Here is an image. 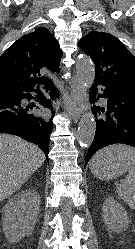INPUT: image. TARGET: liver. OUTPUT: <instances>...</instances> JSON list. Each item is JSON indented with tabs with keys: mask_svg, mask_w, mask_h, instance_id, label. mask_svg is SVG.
Instances as JSON below:
<instances>
[{
	"mask_svg": "<svg viewBox=\"0 0 135 249\" xmlns=\"http://www.w3.org/2000/svg\"><path fill=\"white\" fill-rule=\"evenodd\" d=\"M44 161L38 146L17 136L0 134V201L15 193Z\"/></svg>",
	"mask_w": 135,
	"mask_h": 249,
	"instance_id": "6515ba94",
	"label": "liver"
}]
</instances>
